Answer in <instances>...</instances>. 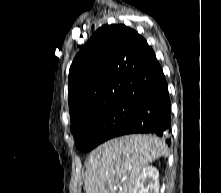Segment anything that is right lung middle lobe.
I'll use <instances>...</instances> for the list:
<instances>
[{
  "instance_id": "dd1d6c3e",
  "label": "right lung middle lobe",
  "mask_w": 221,
  "mask_h": 193,
  "mask_svg": "<svg viewBox=\"0 0 221 193\" xmlns=\"http://www.w3.org/2000/svg\"><path fill=\"white\" fill-rule=\"evenodd\" d=\"M141 103L142 99L118 100L80 120L72 131L73 135H77V148L87 152L112 138L140 112Z\"/></svg>"
}]
</instances>
